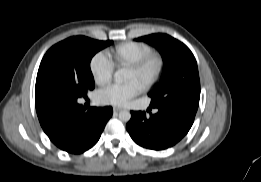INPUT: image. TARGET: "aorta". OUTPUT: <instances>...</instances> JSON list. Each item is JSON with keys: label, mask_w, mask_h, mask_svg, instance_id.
I'll use <instances>...</instances> for the list:
<instances>
[{"label": "aorta", "mask_w": 261, "mask_h": 182, "mask_svg": "<svg viewBox=\"0 0 261 182\" xmlns=\"http://www.w3.org/2000/svg\"><path fill=\"white\" fill-rule=\"evenodd\" d=\"M127 77V70L118 69L114 73V79L116 83H122ZM119 119L123 122H128L131 119V113L128 110H122L119 113Z\"/></svg>", "instance_id": "aorta-1"}]
</instances>
